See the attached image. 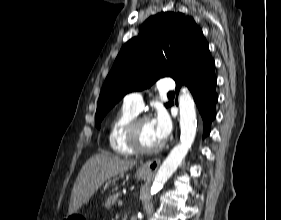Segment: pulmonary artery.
<instances>
[{"label":"pulmonary artery","mask_w":281,"mask_h":220,"mask_svg":"<svg viewBox=\"0 0 281 220\" xmlns=\"http://www.w3.org/2000/svg\"><path fill=\"white\" fill-rule=\"evenodd\" d=\"M158 89L166 92L172 91L175 88V84L170 78H163L158 81ZM124 104L136 110L137 112L142 111L144 107L143 95L141 92H132L125 96Z\"/></svg>","instance_id":"obj_1"}]
</instances>
